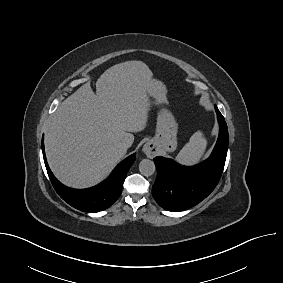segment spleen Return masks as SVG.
<instances>
[{"mask_svg": "<svg viewBox=\"0 0 283 283\" xmlns=\"http://www.w3.org/2000/svg\"><path fill=\"white\" fill-rule=\"evenodd\" d=\"M206 146V138L201 131H197L191 136L190 141L185 144L175 159L184 165L196 164L204 155Z\"/></svg>", "mask_w": 283, "mask_h": 283, "instance_id": "3e777b00", "label": "spleen"}]
</instances>
